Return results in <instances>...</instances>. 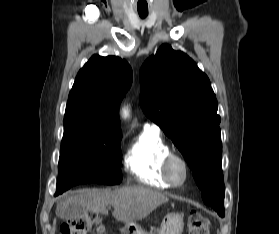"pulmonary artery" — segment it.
<instances>
[{
  "instance_id": "pulmonary-artery-1",
  "label": "pulmonary artery",
  "mask_w": 279,
  "mask_h": 234,
  "mask_svg": "<svg viewBox=\"0 0 279 234\" xmlns=\"http://www.w3.org/2000/svg\"><path fill=\"white\" fill-rule=\"evenodd\" d=\"M144 129H149V130H153V131H158L159 127L155 124H146Z\"/></svg>"
}]
</instances>
